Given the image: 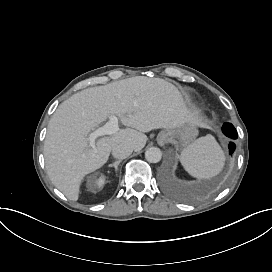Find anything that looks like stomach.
Masks as SVG:
<instances>
[{"label":"stomach","instance_id":"0dacf381","mask_svg":"<svg viewBox=\"0 0 272 272\" xmlns=\"http://www.w3.org/2000/svg\"><path fill=\"white\" fill-rule=\"evenodd\" d=\"M197 134V129L192 124H184L178 130L164 131L158 134L157 141L160 145L164 146L162 143L163 135H167V142H175L178 139L182 144H187L193 140Z\"/></svg>","mask_w":272,"mask_h":272}]
</instances>
